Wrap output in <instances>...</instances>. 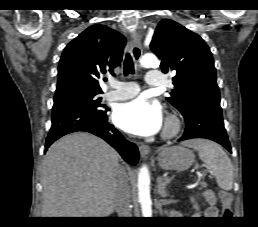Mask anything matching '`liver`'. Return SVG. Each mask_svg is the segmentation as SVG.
Listing matches in <instances>:
<instances>
[{"label":"liver","mask_w":258,"mask_h":227,"mask_svg":"<svg viewBox=\"0 0 258 227\" xmlns=\"http://www.w3.org/2000/svg\"><path fill=\"white\" fill-rule=\"evenodd\" d=\"M118 153L86 133L66 135L43 159L42 217H106L115 209Z\"/></svg>","instance_id":"obj_1"}]
</instances>
